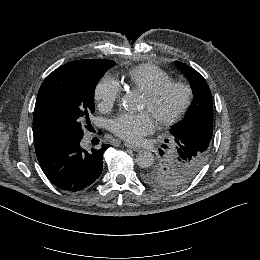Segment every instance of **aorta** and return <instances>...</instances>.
I'll use <instances>...</instances> for the list:
<instances>
[{"label": "aorta", "instance_id": "1", "mask_svg": "<svg viewBox=\"0 0 260 260\" xmlns=\"http://www.w3.org/2000/svg\"><path fill=\"white\" fill-rule=\"evenodd\" d=\"M122 105L126 110H136L137 109V101L136 98L132 95H125L122 99ZM154 162V156L152 153L143 151L137 154L136 163L141 168H148Z\"/></svg>", "mask_w": 260, "mask_h": 260}]
</instances>
